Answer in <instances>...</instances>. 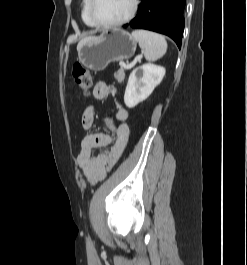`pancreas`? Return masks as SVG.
I'll list each match as a JSON object with an SVG mask.
<instances>
[{"label":"pancreas","mask_w":247,"mask_h":265,"mask_svg":"<svg viewBox=\"0 0 247 265\" xmlns=\"http://www.w3.org/2000/svg\"><path fill=\"white\" fill-rule=\"evenodd\" d=\"M114 78L118 81V83H122L124 82L125 79V72L124 69H119L115 74H114Z\"/></svg>","instance_id":"obj_1"}]
</instances>
